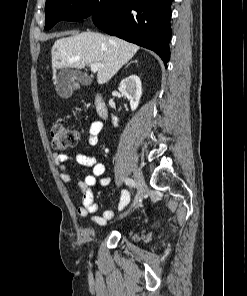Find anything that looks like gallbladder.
Segmentation results:
<instances>
[{"label":"gallbladder","instance_id":"obj_1","mask_svg":"<svg viewBox=\"0 0 247 296\" xmlns=\"http://www.w3.org/2000/svg\"><path fill=\"white\" fill-rule=\"evenodd\" d=\"M75 75L69 69H63L57 78L56 89L61 98H69L74 89ZM77 79L82 85L88 86L91 83V78L83 74H77Z\"/></svg>","mask_w":247,"mask_h":296}]
</instances>
